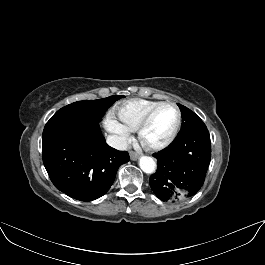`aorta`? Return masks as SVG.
<instances>
[{"label":"aorta","mask_w":265,"mask_h":265,"mask_svg":"<svg viewBox=\"0 0 265 265\" xmlns=\"http://www.w3.org/2000/svg\"><path fill=\"white\" fill-rule=\"evenodd\" d=\"M139 166L145 173H153L156 169V163L153 158L149 156H142L139 159Z\"/></svg>","instance_id":"obj_1"}]
</instances>
